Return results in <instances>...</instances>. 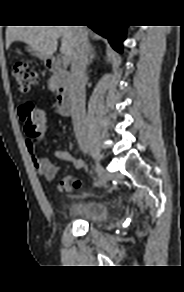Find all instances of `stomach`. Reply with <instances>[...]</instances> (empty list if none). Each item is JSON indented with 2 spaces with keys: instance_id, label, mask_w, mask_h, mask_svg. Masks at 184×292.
<instances>
[{
  "instance_id": "stomach-1",
  "label": "stomach",
  "mask_w": 184,
  "mask_h": 292,
  "mask_svg": "<svg viewBox=\"0 0 184 292\" xmlns=\"http://www.w3.org/2000/svg\"><path fill=\"white\" fill-rule=\"evenodd\" d=\"M26 50L31 53L34 56L39 57L42 61H44L45 63L50 59V57L43 55L41 53H39L38 51H36L35 49H33L32 47L28 46L26 47Z\"/></svg>"
}]
</instances>
